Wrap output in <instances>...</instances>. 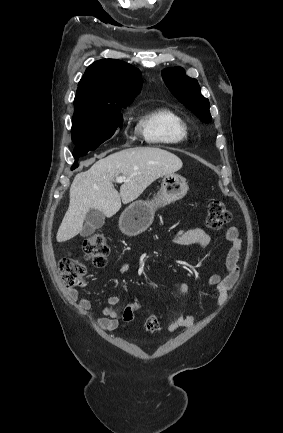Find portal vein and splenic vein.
<instances>
[{"label": "portal vein and splenic vein", "mask_w": 283, "mask_h": 433, "mask_svg": "<svg viewBox=\"0 0 283 433\" xmlns=\"http://www.w3.org/2000/svg\"><path fill=\"white\" fill-rule=\"evenodd\" d=\"M125 180V176H116L115 182H123Z\"/></svg>", "instance_id": "obj_1"}]
</instances>
